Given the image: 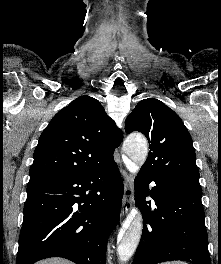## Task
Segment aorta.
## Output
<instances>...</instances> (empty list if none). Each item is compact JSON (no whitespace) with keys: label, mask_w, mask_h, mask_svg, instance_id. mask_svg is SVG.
I'll return each instance as SVG.
<instances>
[{"label":"aorta","mask_w":221,"mask_h":264,"mask_svg":"<svg viewBox=\"0 0 221 264\" xmlns=\"http://www.w3.org/2000/svg\"><path fill=\"white\" fill-rule=\"evenodd\" d=\"M123 150L134 163L141 165L147 158L148 144L142 136H131L125 141ZM142 229V215L136 212L125 223L117 239V251L121 262H127L133 256L139 244Z\"/></svg>","instance_id":"762f6f07"}]
</instances>
